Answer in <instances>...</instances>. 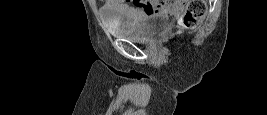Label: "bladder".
I'll use <instances>...</instances> for the list:
<instances>
[{"label": "bladder", "mask_w": 267, "mask_h": 115, "mask_svg": "<svg viewBox=\"0 0 267 115\" xmlns=\"http://www.w3.org/2000/svg\"><path fill=\"white\" fill-rule=\"evenodd\" d=\"M170 22L171 18L168 15L148 13L140 15L134 23L108 25V29L119 38L132 42H146L166 29Z\"/></svg>", "instance_id": "1"}]
</instances>
